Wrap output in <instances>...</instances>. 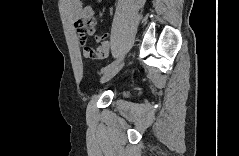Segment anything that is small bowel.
<instances>
[{
    "mask_svg": "<svg viewBox=\"0 0 239 156\" xmlns=\"http://www.w3.org/2000/svg\"><path fill=\"white\" fill-rule=\"evenodd\" d=\"M69 12L71 13L74 24L77 30V25L80 23H85L87 33L94 34L95 33V18H94V10L91 7H83L81 2L79 1H70ZM78 39L80 44L84 47V51L87 57L93 59H102L105 58L109 53V44L105 41H101L100 45L97 49L92 48V52H88V44L87 42H83L82 36L77 32Z\"/></svg>",
    "mask_w": 239,
    "mask_h": 156,
    "instance_id": "obj_1",
    "label": "small bowel"
}]
</instances>
